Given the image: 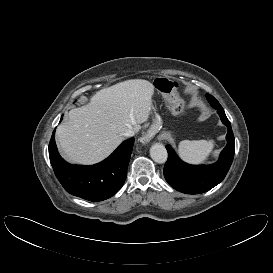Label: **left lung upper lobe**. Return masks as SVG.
Masks as SVG:
<instances>
[{
    "label": "left lung upper lobe",
    "mask_w": 273,
    "mask_h": 273,
    "mask_svg": "<svg viewBox=\"0 0 273 273\" xmlns=\"http://www.w3.org/2000/svg\"><path fill=\"white\" fill-rule=\"evenodd\" d=\"M207 99L209 103L215 108V109H222V106L219 104V102L211 95L207 94Z\"/></svg>",
    "instance_id": "left-lung-upper-lobe-1"
}]
</instances>
